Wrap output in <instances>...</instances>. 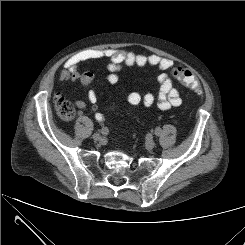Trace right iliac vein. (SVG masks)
Wrapping results in <instances>:
<instances>
[{
	"label": "right iliac vein",
	"instance_id": "obj_1",
	"mask_svg": "<svg viewBox=\"0 0 245 245\" xmlns=\"http://www.w3.org/2000/svg\"><path fill=\"white\" fill-rule=\"evenodd\" d=\"M93 139L95 141H102L104 138L100 134L95 133V134H93Z\"/></svg>",
	"mask_w": 245,
	"mask_h": 245
}]
</instances>
